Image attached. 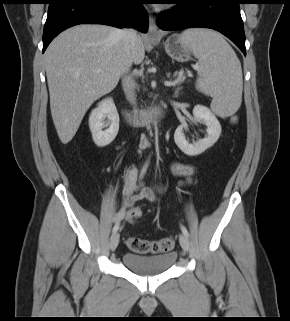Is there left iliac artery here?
Wrapping results in <instances>:
<instances>
[{
    "instance_id": "44dca946",
    "label": "left iliac artery",
    "mask_w": 290,
    "mask_h": 321,
    "mask_svg": "<svg viewBox=\"0 0 290 321\" xmlns=\"http://www.w3.org/2000/svg\"><path fill=\"white\" fill-rule=\"evenodd\" d=\"M181 230H182L184 235H186L187 237L189 236V233H188L187 229L184 226H181Z\"/></svg>"
}]
</instances>
